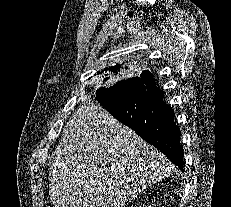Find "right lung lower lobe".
Here are the masks:
<instances>
[{
    "label": "right lung lower lobe",
    "mask_w": 231,
    "mask_h": 207,
    "mask_svg": "<svg viewBox=\"0 0 231 207\" xmlns=\"http://www.w3.org/2000/svg\"><path fill=\"white\" fill-rule=\"evenodd\" d=\"M96 99L117 120L160 150L183 171L181 132L175 125L172 108L163 100V90L156 86L149 71L125 80L118 89L103 97L97 93Z\"/></svg>",
    "instance_id": "right-lung-lower-lobe-1"
}]
</instances>
